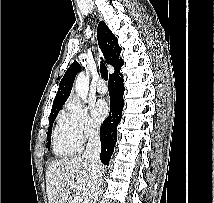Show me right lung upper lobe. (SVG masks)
<instances>
[{
    "instance_id": "1",
    "label": "right lung upper lobe",
    "mask_w": 214,
    "mask_h": 203,
    "mask_svg": "<svg viewBox=\"0 0 214 203\" xmlns=\"http://www.w3.org/2000/svg\"><path fill=\"white\" fill-rule=\"evenodd\" d=\"M97 38L106 62L114 67V74L118 73L124 63L122 59H118L121 48L118 45L117 38L112 34L108 26L103 21L98 25ZM79 70L80 65L76 61H74L67 69L59 84L58 92L54 99L50 115L58 113L69 97L75 76Z\"/></svg>"
}]
</instances>
